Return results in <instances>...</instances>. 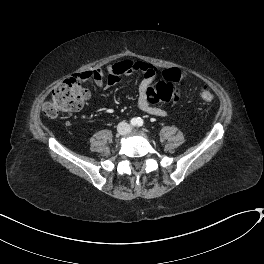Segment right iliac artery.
Masks as SVG:
<instances>
[{"label": "right iliac artery", "instance_id": "obj_1", "mask_svg": "<svg viewBox=\"0 0 264 264\" xmlns=\"http://www.w3.org/2000/svg\"><path fill=\"white\" fill-rule=\"evenodd\" d=\"M137 121H138V119L133 118V119H131L130 124H131L132 126H136V125H137Z\"/></svg>", "mask_w": 264, "mask_h": 264}]
</instances>
